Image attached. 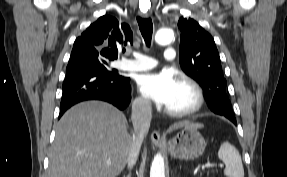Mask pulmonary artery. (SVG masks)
Wrapping results in <instances>:
<instances>
[{
    "instance_id": "e3ab8cb5",
    "label": "pulmonary artery",
    "mask_w": 287,
    "mask_h": 177,
    "mask_svg": "<svg viewBox=\"0 0 287 177\" xmlns=\"http://www.w3.org/2000/svg\"><path fill=\"white\" fill-rule=\"evenodd\" d=\"M134 59H122L117 63V67L125 71L140 72L156 66L154 59L142 53L134 52ZM175 58L174 47L168 46L164 50V60L166 62H172Z\"/></svg>"
}]
</instances>
